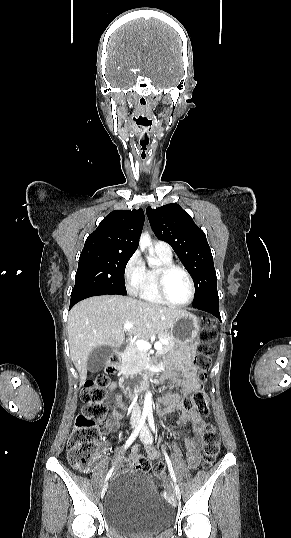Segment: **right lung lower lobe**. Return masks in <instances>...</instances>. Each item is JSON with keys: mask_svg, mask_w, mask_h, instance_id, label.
I'll list each match as a JSON object with an SVG mask.
<instances>
[{"mask_svg": "<svg viewBox=\"0 0 291 538\" xmlns=\"http://www.w3.org/2000/svg\"><path fill=\"white\" fill-rule=\"evenodd\" d=\"M88 297H91V296H81V297L76 298L74 300H70V308L69 309H71L77 302H79V301H81V300H83L85 298H88Z\"/></svg>", "mask_w": 291, "mask_h": 538, "instance_id": "1", "label": "right lung lower lobe"}]
</instances>
